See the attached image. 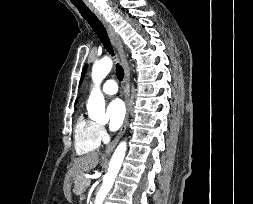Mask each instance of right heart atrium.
<instances>
[{"mask_svg":"<svg viewBox=\"0 0 253 204\" xmlns=\"http://www.w3.org/2000/svg\"><path fill=\"white\" fill-rule=\"evenodd\" d=\"M96 134L100 141H104L107 137L106 130L102 125H96Z\"/></svg>","mask_w":253,"mask_h":204,"instance_id":"right-heart-atrium-1","label":"right heart atrium"}]
</instances>
